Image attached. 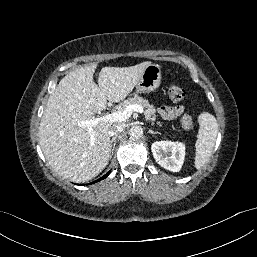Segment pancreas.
Segmentation results:
<instances>
[{
    "instance_id": "1",
    "label": "pancreas",
    "mask_w": 257,
    "mask_h": 257,
    "mask_svg": "<svg viewBox=\"0 0 257 257\" xmlns=\"http://www.w3.org/2000/svg\"><path fill=\"white\" fill-rule=\"evenodd\" d=\"M133 104H138L142 106L145 109L144 111L145 119L151 120L154 123V121L156 120V115H155L156 110H155V107L148 102V100L143 99L138 95H134L132 98H129L125 100L123 103H121V107L125 108L126 106L133 105Z\"/></svg>"
}]
</instances>
